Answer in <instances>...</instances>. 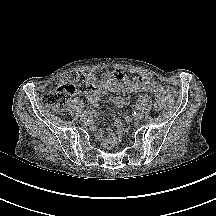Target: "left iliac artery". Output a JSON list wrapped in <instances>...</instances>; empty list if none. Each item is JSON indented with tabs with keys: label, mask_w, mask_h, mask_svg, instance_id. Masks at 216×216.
<instances>
[{
	"label": "left iliac artery",
	"mask_w": 216,
	"mask_h": 216,
	"mask_svg": "<svg viewBox=\"0 0 216 216\" xmlns=\"http://www.w3.org/2000/svg\"><path fill=\"white\" fill-rule=\"evenodd\" d=\"M132 116H137V111H132Z\"/></svg>",
	"instance_id": "1"
}]
</instances>
